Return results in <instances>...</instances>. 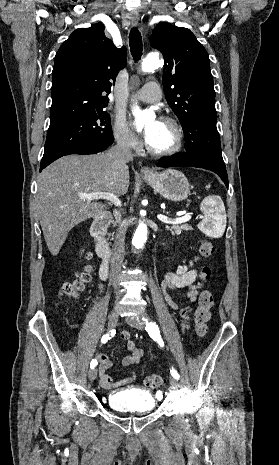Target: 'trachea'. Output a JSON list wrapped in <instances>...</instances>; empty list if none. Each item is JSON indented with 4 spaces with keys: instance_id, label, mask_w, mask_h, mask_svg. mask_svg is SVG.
<instances>
[{
    "instance_id": "3493384b",
    "label": "trachea",
    "mask_w": 279,
    "mask_h": 465,
    "mask_svg": "<svg viewBox=\"0 0 279 465\" xmlns=\"http://www.w3.org/2000/svg\"><path fill=\"white\" fill-rule=\"evenodd\" d=\"M129 46L133 58L137 61L142 56V37L137 28H132L129 35Z\"/></svg>"
}]
</instances>
